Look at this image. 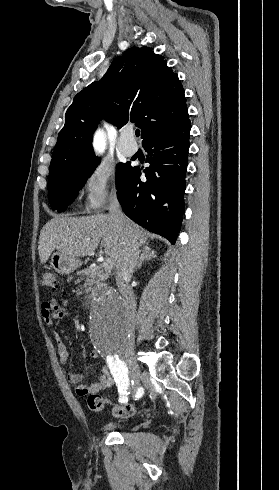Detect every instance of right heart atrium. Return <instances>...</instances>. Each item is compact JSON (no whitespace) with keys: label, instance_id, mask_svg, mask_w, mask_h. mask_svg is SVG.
I'll list each match as a JSON object with an SVG mask.
<instances>
[{"label":"right heart atrium","instance_id":"1","mask_svg":"<svg viewBox=\"0 0 279 490\" xmlns=\"http://www.w3.org/2000/svg\"><path fill=\"white\" fill-rule=\"evenodd\" d=\"M81 189L84 206L88 213L100 212L110 197H116L120 184L114 166L99 161L89 167L82 176Z\"/></svg>","mask_w":279,"mask_h":490}]
</instances>
